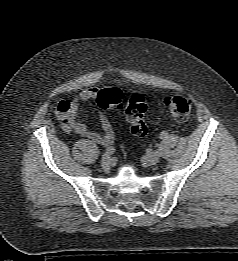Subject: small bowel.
I'll use <instances>...</instances> for the list:
<instances>
[{"label": "small bowel", "mask_w": 238, "mask_h": 261, "mask_svg": "<svg viewBox=\"0 0 238 261\" xmlns=\"http://www.w3.org/2000/svg\"><path fill=\"white\" fill-rule=\"evenodd\" d=\"M100 91L97 88H88L72 100L60 101L57 105V117L66 132H74L96 144L109 146L114 142L115 133L110 120L104 113L99 114L102 134L90 130L84 120L77 118L81 105L91 100H97ZM61 104H63V108H60Z\"/></svg>", "instance_id": "obj_1"}]
</instances>
